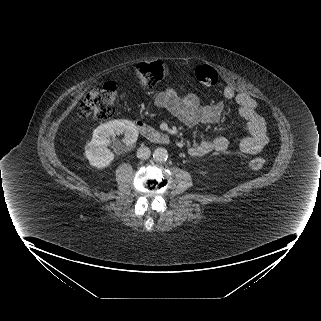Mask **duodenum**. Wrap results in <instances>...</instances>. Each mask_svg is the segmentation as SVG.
<instances>
[{
    "label": "duodenum",
    "instance_id": "1",
    "mask_svg": "<svg viewBox=\"0 0 321 321\" xmlns=\"http://www.w3.org/2000/svg\"><path fill=\"white\" fill-rule=\"evenodd\" d=\"M134 124L137 130L148 140L162 145L169 144L170 138L166 133L153 128L142 120H135Z\"/></svg>",
    "mask_w": 321,
    "mask_h": 321
}]
</instances>
